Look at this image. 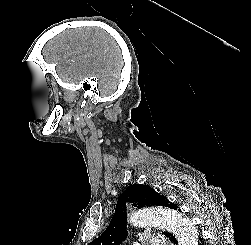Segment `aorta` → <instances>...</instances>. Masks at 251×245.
Here are the masks:
<instances>
[{"label":"aorta","instance_id":"762f6f07","mask_svg":"<svg viewBox=\"0 0 251 245\" xmlns=\"http://www.w3.org/2000/svg\"><path fill=\"white\" fill-rule=\"evenodd\" d=\"M129 222L137 227H157L172 232L178 245H198V232L192 221L180 213L160 207L133 211Z\"/></svg>","mask_w":251,"mask_h":245}]
</instances>
